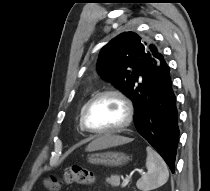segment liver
<instances>
[{"label": "liver", "mask_w": 210, "mask_h": 191, "mask_svg": "<svg viewBox=\"0 0 210 191\" xmlns=\"http://www.w3.org/2000/svg\"><path fill=\"white\" fill-rule=\"evenodd\" d=\"M132 139L118 136V135H112V134H105L103 136H100L96 138L94 141H92L86 148V151H96L100 149H105L108 147L118 146L122 144H126L131 142Z\"/></svg>", "instance_id": "1"}]
</instances>
